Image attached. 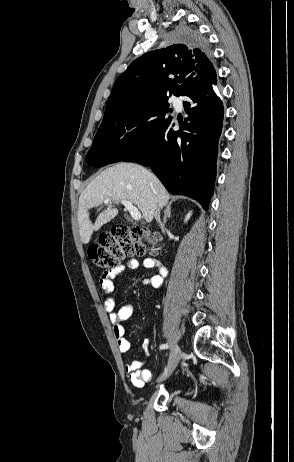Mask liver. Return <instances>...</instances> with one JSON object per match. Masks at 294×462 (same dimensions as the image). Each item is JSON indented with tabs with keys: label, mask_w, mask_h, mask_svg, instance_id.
<instances>
[{
	"label": "liver",
	"mask_w": 294,
	"mask_h": 462,
	"mask_svg": "<svg viewBox=\"0 0 294 462\" xmlns=\"http://www.w3.org/2000/svg\"><path fill=\"white\" fill-rule=\"evenodd\" d=\"M107 198L113 203L130 201L140 209L143 218L151 222L155 208L167 205L170 195L159 179L140 165L122 162L105 169L91 181L79 197L78 225L84 244L89 243L94 231L99 230L118 214V210L110 205L92 224L89 210L101 205Z\"/></svg>",
	"instance_id": "obj_1"
}]
</instances>
